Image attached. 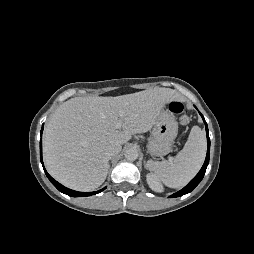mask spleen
<instances>
[{
    "label": "spleen",
    "instance_id": "1",
    "mask_svg": "<svg viewBox=\"0 0 254 254\" xmlns=\"http://www.w3.org/2000/svg\"><path fill=\"white\" fill-rule=\"evenodd\" d=\"M206 155V137L203 130L193 126L183 149L173 160L148 161L147 167L166 186L186 185L200 170Z\"/></svg>",
    "mask_w": 254,
    "mask_h": 254
}]
</instances>
